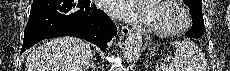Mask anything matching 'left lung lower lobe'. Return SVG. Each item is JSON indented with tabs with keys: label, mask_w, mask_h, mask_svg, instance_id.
I'll return each instance as SVG.
<instances>
[{
	"label": "left lung lower lobe",
	"mask_w": 230,
	"mask_h": 71,
	"mask_svg": "<svg viewBox=\"0 0 230 71\" xmlns=\"http://www.w3.org/2000/svg\"><path fill=\"white\" fill-rule=\"evenodd\" d=\"M191 15L193 19V25L191 30L186 34V36L199 38L205 30L203 15L199 12H191ZM155 39H157V37H155Z\"/></svg>",
	"instance_id": "0a47b994"
}]
</instances>
